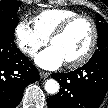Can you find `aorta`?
I'll return each mask as SVG.
<instances>
[{
    "instance_id": "762f6f07",
    "label": "aorta",
    "mask_w": 108,
    "mask_h": 108,
    "mask_svg": "<svg viewBox=\"0 0 108 108\" xmlns=\"http://www.w3.org/2000/svg\"><path fill=\"white\" fill-rule=\"evenodd\" d=\"M45 90L49 94H56L59 91V83L54 79H49L45 82Z\"/></svg>"
}]
</instances>
